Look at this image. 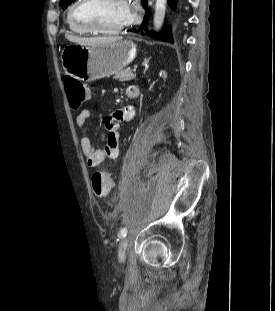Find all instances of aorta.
<instances>
[{"label": "aorta", "instance_id": "1", "mask_svg": "<svg viewBox=\"0 0 275 311\" xmlns=\"http://www.w3.org/2000/svg\"><path fill=\"white\" fill-rule=\"evenodd\" d=\"M166 2L167 0H156L155 3L154 27L157 30L161 28L165 18Z\"/></svg>", "mask_w": 275, "mask_h": 311}]
</instances>
